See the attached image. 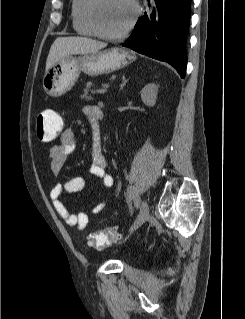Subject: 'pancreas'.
<instances>
[{
    "mask_svg": "<svg viewBox=\"0 0 245 319\" xmlns=\"http://www.w3.org/2000/svg\"><path fill=\"white\" fill-rule=\"evenodd\" d=\"M95 93V87L92 82H87L86 88L83 90V94L81 95L82 99L91 100V94Z\"/></svg>",
    "mask_w": 245,
    "mask_h": 319,
    "instance_id": "pancreas-1",
    "label": "pancreas"
}]
</instances>
